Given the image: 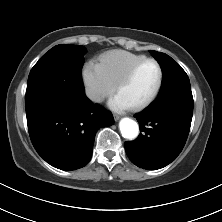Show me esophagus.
<instances>
[{
    "label": "esophagus",
    "instance_id": "obj_1",
    "mask_svg": "<svg viewBox=\"0 0 222 222\" xmlns=\"http://www.w3.org/2000/svg\"><path fill=\"white\" fill-rule=\"evenodd\" d=\"M119 119H120V116L117 115V114H115V115H114V120H115V121H118Z\"/></svg>",
    "mask_w": 222,
    "mask_h": 222
}]
</instances>
